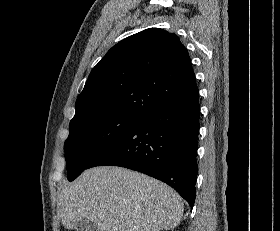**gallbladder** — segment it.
<instances>
[{"mask_svg":"<svg viewBox=\"0 0 280 231\" xmlns=\"http://www.w3.org/2000/svg\"><path fill=\"white\" fill-rule=\"evenodd\" d=\"M77 231H98V223L95 221H78Z\"/></svg>","mask_w":280,"mask_h":231,"instance_id":"1","label":"gallbladder"}]
</instances>
